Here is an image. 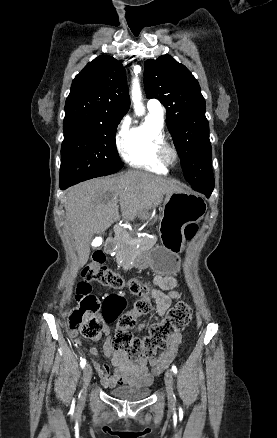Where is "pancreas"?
I'll list each match as a JSON object with an SVG mask.
<instances>
[{
	"mask_svg": "<svg viewBox=\"0 0 277 438\" xmlns=\"http://www.w3.org/2000/svg\"><path fill=\"white\" fill-rule=\"evenodd\" d=\"M105 239L107 253H115L118 267H129V253H147L158 241L152 231H114Z\"/></svg>",
	"mask_w": 277,
	"mask_h": 438,
	"instance_id": "pancreas-1",
	"label": "pancreas"
}]
</instances>
